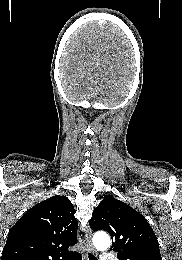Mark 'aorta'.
I'll return each mask as SVG.
<instances>
[{"label":"aorta","instance_id":"obj_1","mask_svg":"<svg viewBox=\"0 0 182 260\" xmlns=\"http://www.w3.org/2000/svg\"><path fill=\"white\" fill-rule=\"evenodd\" d=\"M93 243L96 249L106 250L110 247V237L105 232H98L93 236Z\"/></svg>","mask_w":182,"mask_h":260}]
</instances>
